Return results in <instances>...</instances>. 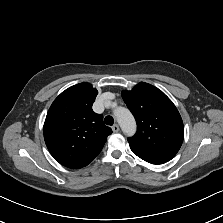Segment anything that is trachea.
Instances as JSON below:
<instances>
[{"label": "trachea", "instance_id": "1", "mask_svg": "<svg viewBox=\"0 0 223 223\" xmlns=\"http://www.w3.org/2000/svg\"><path fill=\"white\" fill-rule=\"evenodd\" d=\"M104 122L106 125H113L114 124V119L112 116H106L104 119Z\"/></svg>", "mask_w": 223, "mask_h": 223}]
</instances>
